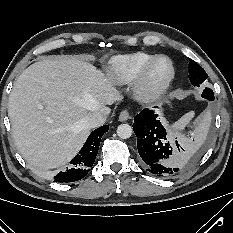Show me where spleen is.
I'll return each mask as SVG.
<instances>
[{
	"mask_svg": "<svg viewBox=\"0 0 233 233\" xmlns=\"http://www.w3.org/2000/svg\"><path fill=\"white\" fill-rule=\"evenodd\" d=\"M194 115L195 113L193 111L185 114L183 117H181L178 121L170 126V130H173L175 133L183 130L185 126L190 123V120L194 117Z\"/></svg>",
	"mask_w": 233,
	"mask_h": 233,
	"instance_id": "1",
	"label": "spleen"
}]
</instances>
